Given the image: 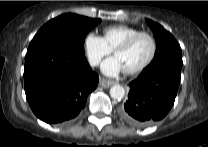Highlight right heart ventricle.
I'll return each mask as SVG.
<instances>
[{"label": "right heart ventricle", "mask_w": 208, "mask_h": 147, "mask_svg": "<svg viewBox=\"0 0 208 147\" xmlns=\"http://www.w3.org/2000/svg\"><path fill=\"white\" fill-rule=\"evenodd\" d=\"M140 32L138 28L128 25H115L104 29L103 38L111 50L124 42L132 35Z\"/></svg>", "instance_id": "obj_1"}]
</instances>
